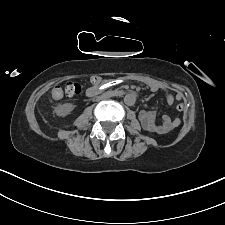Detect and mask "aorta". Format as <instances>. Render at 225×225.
Wrapping results in <instances>:
<instances>
[{
  "label": "aorta",
  "mask_w": 225,
  "mask_h": 225,
  "mask_svg": "<svg viewBox=\"0 0 225 225\" xmlns=\"http://www.w3.org/2000/svg\"><path fill=\"white\" fill-rule=\"evenodd\" d=\"M136 99H135V96L132 95V94H127L125 97H124V103L126 105H133L135 103Z\"/></svg>",
  "instance_id": "762f6f07"
}]
</instances>
